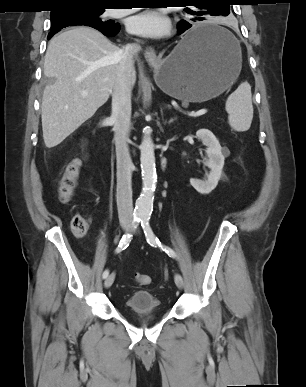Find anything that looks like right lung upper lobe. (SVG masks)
I'll use <instances>...</instances> for the list:
<instances>
[{
  "label": "right lung upper lobe",
  "instance_id": "1",
  "mask_svg": "<svg viewBox=\"0 0 306 387\" xmlns=\"http://www.w3.org/2000/svg\"><path fill=\"white\" fill-rule=\"evenodd\" d=\"M57 9L51 12H59L62 8L73 6H97L105 7L109 5V0H56Z\"/></svg>",
  "mask_w": 306,
  "mask_h": 387
}]
</instances>
